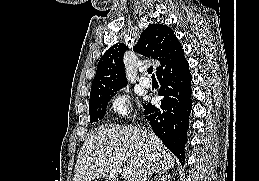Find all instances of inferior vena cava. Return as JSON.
I'll return each mask as SVG.
<instances>
[{
  "mask_svg": "<svg viewBox=\"0 0 259 181\" xmlns=\"http://www.w3.org/2000/svg\"><path fill=\"white\" fill-rule=\"evenodd\" d=\"M147 173L145 170H142V175L139 177L138 181H146L147 177H146Z\"/></svg>",
  "mask_w": 259,
  "mask_h": 181,
  "instance_id": "obj_1",
  "label": "inferior vena cava"
}]
</instances>
